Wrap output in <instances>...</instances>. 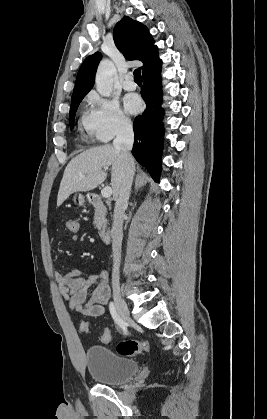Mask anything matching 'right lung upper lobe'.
Here are the masks:
<instances>
[{
    "mask_svg": "<svg viewBox=\"0 0 267 419\" xmlns=\"http://www.w3.org/2000/svg\"><path fill=\"white\" fill-rule=\"evenodd\" d=\"M113 36L115 45L126 59L143 62L142 73L161 62L151 34L140 22L124 16L116 24ZM101 58V54L96 52L84 60L77 74L72 98L85 96L92 89Z\"/></svg>",
    "mask_w": 267,
    "mask_h": 419,
    "instance_id": "1",
    "label": "right lung upper lobe"
}]
</instances>
